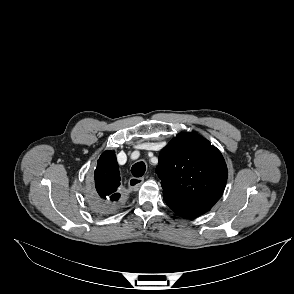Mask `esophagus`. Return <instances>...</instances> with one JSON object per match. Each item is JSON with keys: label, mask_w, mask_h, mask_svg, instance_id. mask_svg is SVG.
<instances>
[{"label": "esophagus", "mask_w": 294, "mask_h": 294, "mask_svg": "<svg viewBox=\"0 0 294 294\" xmlns=\"http://www.w3.org/2000/svg\"><path fill=\"white\" fill-rule=\"evenodd\" d=\"M144 182V177H131L129 179L128 185L132 189H138Z\"/></svg>", "instance_id": "34e87169"}]
</instances>
